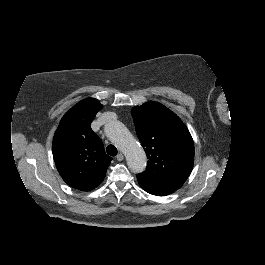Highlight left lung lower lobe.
<instances>
[{
    "mask_svg": "<svg viewBox=\"0 0 265 265\" xmlns=\"http://www.w3.org/2000/svg\"><path fill=\"white\" fill-rule=\"evenodd\" d=\"M138 182L145 191H147L150 194L157 195V196H165V195L171 194L174 191H176V190L169 189V188L159 187V186L144 182L139 179H138Z\"/></svg>",
    "mask_w": 265,
    "mask_h": 265,
    "instance_id": "obj_1",
    "label": "left lung lower lobe"
}]
</instances>
